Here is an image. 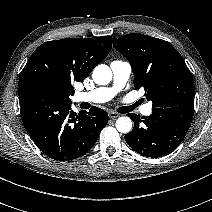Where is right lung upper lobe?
Wrapping results in <instances>:
<instances>
[{
	"instance_id": "right-lung-upper-lobe-1",
	"label": "right lung upper lobe",
	"mask_w": 212,
	"mask_h": 212,
	"mask_svg": "<svg viewBox=\"0 0 212 212\" xmlns=\"http://www.w3.org/2000/svg\"><path fill=\"white\" fill-rule=\"evenodd\" d=\"M112 37L66 38L39 46L22 70L19 85L20 106L43 99L70 103L72 83L82 82L108 55Z\"/></svg>"
}]
</instances>
